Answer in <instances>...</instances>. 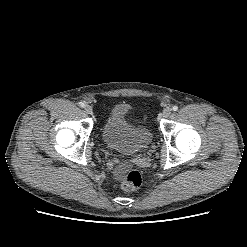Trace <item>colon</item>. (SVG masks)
<instances>
[{
	"mask_svg": "<svg viewBox=\"0 0 247 247\" xmlns=\"http://www.w3.org/2000/svg\"><path fill=\"white\" fill-rule=\"evenodd\" d=\"M142 184V176L139 171H129L122 181V188L126 191H134Z\"/></svg>",
	"mask_w": 247,
	"mask_h": 247,
	"instance_id": "5ec220e1",
	"label": "colon"
}]
</instances>
